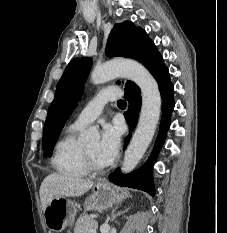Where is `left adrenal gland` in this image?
Returning <instances> with one entry per match:
<instances>
[{
  "instance_id": "1",
  "label": "left adrenal gland",
  "mask_w": 227,
  "mask_h": 233,
  "mask_svg": "<svg viewBox=\"0 0 227 233\" xmlns=\"http://www.w3.org/2000/svg\"><path fill=\"white\" fill-rule=\"evenodd\" d=\"M121 213H123V212L115 213V210H113V212H112L111 216H110V217H108V220H111V221L115 220V219H116V217H117V216H119Z\"/></svg>"
}]
</instances>
